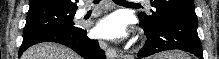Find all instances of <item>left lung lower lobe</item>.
I'll return each mask as SVG.
<instances>
[{
	"mask_svg": "<svg viewBox=\"0 0 219 59\" xmlns=\"http://www.w3.org/2000/svg\"><path fill=\"white\" fill-rule=\"evenodd\" d=\"M147 41L138 52V59L165 50H183L203 59L202 47L197 33L198 20L194 9H188L171 20L150 25L140 22Z\"/></svg>",
	"mask_w": 219,
	"mask_h": 59,
	"instance_id": "obj_1",
	"label": "left lung lower lobe"
}]
</instances>
